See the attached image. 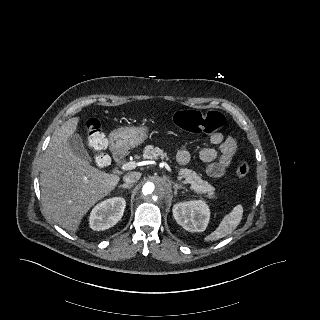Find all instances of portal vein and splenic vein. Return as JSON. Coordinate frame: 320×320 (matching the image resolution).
<instances>
[{"label": "portal vein and splenic vein", "mask_w": 320, "mask_h": 320, "mask_svg": "<svg viewBox=\"0 0 320 320\" xmlns=\"http://www.w3.org/2000/svg\"><path fill=\"white\" fill-rule=\"evenodd\" d=\"M163 166H165V168L171 172V168L167 163L163 162ZM135 167H136V164L134 162H126V163L122 164L121 169L122 170H131V169H134Z\"/></svg>", "instance_id": "portal-vein-and-splenic-vein-1"}]
</instances>
